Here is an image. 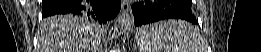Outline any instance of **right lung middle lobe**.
I'll return each mask as SVG.
<instances>
[{
	"label": "right lung middle lobe",
	"mask_w": 261,
	"mask_h": 52,
	"mask_svg": "<svg viewBox=\"0 0 261 52\" xmlns=\"http://www.w3.org/2000/svg\"><path fill=\"white\" fill-rule=\"evenodd\" d=\"M72 16V15H71ZM73 17H75L76 19H79V20H83V21H89L90 23H93V25L96 27V28H101L102 27V24H100L99 22L95 21L94 19L90 18V17H85V16H77V15H74ZM63 19H67V20H70L71 17H65Z\"/></svg>",
	"instance_id": "1"
}]
</instances>
